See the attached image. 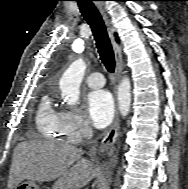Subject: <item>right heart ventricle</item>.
I'll return each instance as SVG.
<instances>
[{"label":"right heart ventricle","instance_id":"e07e8e85","mask_svg":"<svg viewBox=\"0 0 188 189\" xmlns=\"http://www.w3.org/2000/svg\"><path fill=\"white\" fill-rule=\"evenodd\" d=\"M36 127L38 132L47 139L58 140L65 135L62 113L54 108L48 94L44 95L39 103Z\"/></svg>","mask_w":188,"mask_h":189}]
</instances>
